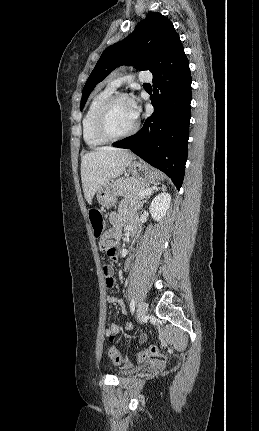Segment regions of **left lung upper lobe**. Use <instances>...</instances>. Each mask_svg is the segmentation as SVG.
Listing matches in <instances>:
<instances>
[{"mask_svg":"<svg viewBox=\"0 0 259 431\" xmlns=\"http://www.w3.org/2000/svg\"><path fill=\"white\" fill-rule=\"evenodd\" d=\"M179 39L168 18L158 12L147 15L128 37L104 50L83 88L80 110L94 87L115 68L133 65L153 72Z\"/></svg>","mask_w":259,"mask_h":431,"instance_id":"left-lung-upper-lobe-1","label":"left lung upper lobe"}]
</instances>
